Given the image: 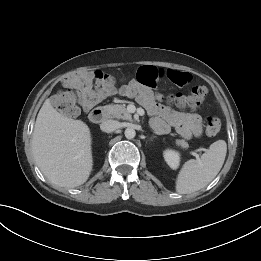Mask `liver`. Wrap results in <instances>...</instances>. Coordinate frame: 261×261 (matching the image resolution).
Instances as JSON below:
<instances>
[{"instance_id": "1", "label": "liver", "mask_w": 261, "mask_h": 261, "mask_svg": "<svg viewBox=\"0 0 261 261\" xmlns=\"http://www.w3.org/2000/svg\"><path fill=\"white\" fill-rule=\"evenodd\" d=\"M31 143L37 166L54 185L74 188L89 178L93 167L89 127L59 113L49 99L37 115Z\"/></svg>"}]
</instances>
